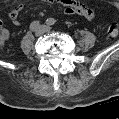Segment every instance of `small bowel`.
<instances>
[{"label": "small bowel", "mask_w": 119, "mask_h": 119, "mask_svg": "<svg viewBox=\"0 0 119 119\" xmlns=\"http://www.w3.org/2000/svg\"><path fill=\"white\" fill-rule=\"evenodd\" d=\"M48 2H50V3L55 2V3L62 5L64 7V12L68 15H81L88 20H92L95 17L94 10L80 1H76V0H56V1L48 0ZM22 9H23V5L18 4L16 6H14L9 13V17L15 25L20 24V22L18 21L17 18H18V15ZM3 36L5 38L8 37L7 31H4Z\"/></svg>", "instance_id": "c3829d8e"}]
</instances>
